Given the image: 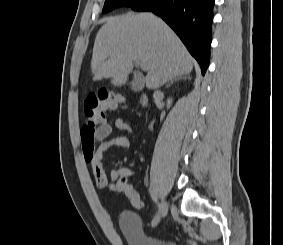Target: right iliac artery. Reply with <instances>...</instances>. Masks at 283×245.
<instances>
[{
    "instance_id": "right-iliac-artery-1",
    "label": "right iliac artery",
    "mask_w": 283,
    "mask_h": 245,
    "mask_svg": "<svg viewBox=\"0 0 283 245\" xmlns=\"http://www.w3.org/2000/svg\"><path fill=\"white\" fill-rule=\"evenodd\" d=\"M150 194H151V197H152V199L157 203V197H156V194H155V192H154V190L150 187ZM157 206H158V208L160 207V205L159 204H157ZM158 214V213H157ZM157 214H156V216L154 217V219H153V221H152V225H154V222H155V218L157 217Z\"/></svg>"
}]
</instances>
